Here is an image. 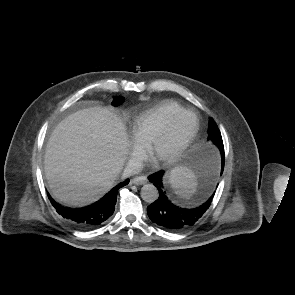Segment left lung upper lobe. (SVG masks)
Here are the masks:
<instances>
[{"mask_svg": "<svg viewBox=\"0 0 295 295\" xmlns=\"http://www.w3.org/2000/svg\"><path fill=\"white\" fill-rule=\"evenodd\" d=\"M208 140H211L214 144H216L218 146L220 151L224 152V146H223L221 133H220L215 121L212 118H210V120H209Z\"/></svg>", "mask_w": 295, "mask_h": 295, "instance_id": "1", "label": "left lung upper lobe"}]
</instances>
